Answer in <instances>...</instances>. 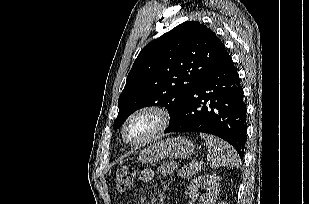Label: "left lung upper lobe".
Returning a JSON list of instances; mask_svg holds the SVG:
<instances>
[{
	"label": "left lung upper lobe",
	"mask_w": 309,
	"mask_h": 204,
	"mask_svg": "<svg viewBox=\"0 0 309 204\" xmlns=\"http://www.w3.org/2000/svg\"><path fill=\"white\" fill-rule=\"evenodd\" d=\"M225 53L215 33L197 21L184 22L148 43L136 58L119 96L114 129L134 111L147 106H163L172 118Z\"/></svg>",
	"instance_id": "obj_1"
}]
</instances>
